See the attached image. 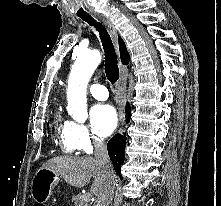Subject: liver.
Segmentation results:
<instances>
[{
  "label": "liver",
  "mask_w": 221,
  "mask_h": 206,
  "mask_svg": "<svg viewBox=\"0 0 221 206\" xmlns=\"http://www.w3.org/2000/svg\"><path fill=\"white\" fill-rule=\"evenodd\" d=\"M42 167L55 171L66 182L75 187H84L90 182L91 177H94L90 191L96 197L103 190L104 173L95 158L58 156L49 159Z\"/></svg>",
  "instance_id": "6515ba94"
}]
</instances>
